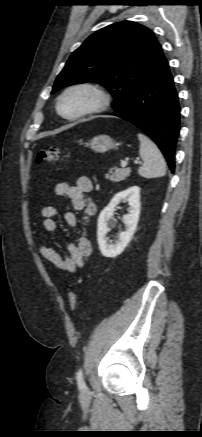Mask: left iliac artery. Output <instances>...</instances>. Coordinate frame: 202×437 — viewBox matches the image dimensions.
Returning a JSON list of instances; mask_svg holds the SVG:
<instances>
[{
	"label": "left iliac artery",
	"mask_w": 202,
	"mask_h": 437,
	"mask_svg": "<svg viewBox=\"0 0 202 437\" xmlns=\"http://www.w3.org/2000/svg\"><path fill=\"white\" fill-rule=\"evenodd\" d=\"M77 383L80 388H85L82 369H79L76 375Z\"/></svg>",
	"instance_id": "obj_1"
}]
</instances>
